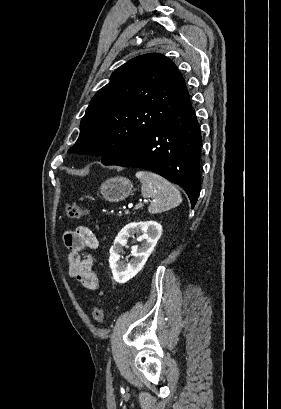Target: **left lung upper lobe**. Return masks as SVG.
Masks as SVG:
<instances>
[{"label":"left lung upper lobe","instance_id":"5c2ea615","mask_svg":"<svg viewBox=\"0 0 281 409\" xmlns=\"http://www.w3.org/2000/svg\"><path fill=\"white\" fill-rule=\"evenodd\" d=\"M189 99L185 82L167 57L150 53L119 67L92 98L73 153L102 155L106 165Z\"/></svg>","mask_w":281,"mask_h":409}]
</instances>
